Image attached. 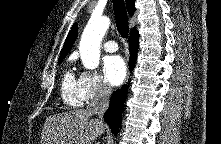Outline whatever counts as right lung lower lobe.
Masks as SVG:
<instances>
[{
    "label": "right lung lower lobe",
    "instance_id": "obj_1",
    "mask_svg": "<svg viewBox=\"0 0 221 144\" xmlns=\"http://www.w3.org/2000/svg\"><path fill=\"white\" fill-rule=\"evenodd\" d=\"M138 40L139 34L137 30L131 32L129 47H130V60L129 67L130 70L133 69L138 51ZM127 95V86H123L120 90L113 93L110 99V105L104 114V119L106 123L110 126L114 134L118 133L120 127L121 115L123 112V103Z\"/></svg>",
    "mask_w": 221,
    "mask_h": 144
}]
</instances>
